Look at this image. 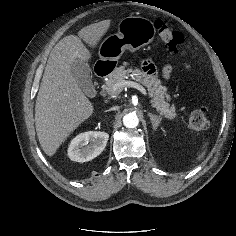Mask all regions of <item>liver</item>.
<instances>
[{"label":"liver","mask_w":236,"mask_h":236,"mask_svg":"<svg viewBox=\"0 0 236 236\" xmlns=\"http://www.w3.org/2000/svg\"><path fill=\"white\" fill-rule=\"evenodd\" d=\"M110 24L111 20H103L86 26L78 37L61 39L50 53L35 104L37 137L50 157L94 112V106L72 75V67L77 59L86 63L91 59L82 40L95 48Z\"/></svg>","instance_id":"6515ba94"}]
</instances>
